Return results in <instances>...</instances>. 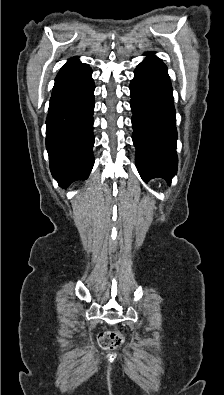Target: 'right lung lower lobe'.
I'll return each instance as SVG.
<instances>
[{
	"label": "right lung lower lobe",
	"mask_w": 224,
	"mask_h": 395,
	"mask_svg": "<svg viewBox=\"0 0 224 395\" xmlns=\"http://www.w3.org/2000/svg\"><path fill=\"white\" fill-rule=\"evenodd\" d=\"M89 65L71 58L55 78L46 119V148L52 175L61 186L88 178L92 147L94 81Z\"/></svg>",
	"instance_id": "obj_1"
}]
</instances>
